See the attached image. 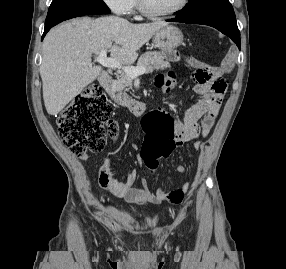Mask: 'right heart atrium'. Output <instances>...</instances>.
<instances>
[{"label":"right heart atrium","mask_w":286,"mask_h":269,"mask_svg":"<svg viewBox=\"0 0 286 269\" xmlns=\"http://www.w3.org/2000/svg\"><path fill=\"white\" fill-rule=\"evenodd\" d=\"M104 4L116 15L126 16L132 12L133 0H103Z\"/></svg>","instance_id":"d8ad5b80"}]
</instances>
